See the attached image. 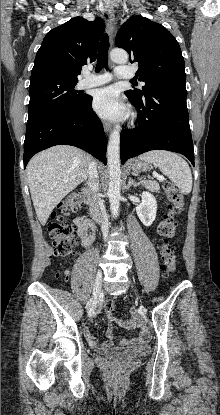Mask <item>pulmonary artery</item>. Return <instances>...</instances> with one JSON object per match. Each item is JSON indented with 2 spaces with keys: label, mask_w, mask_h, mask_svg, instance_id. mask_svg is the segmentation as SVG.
Here are the masks:
<instances>
[{
  "label": "pulmonary artery",
  "mask_w": 220,
  "mask_h": 415,
  "mask_svg": "<svg viewBox=\"0 0 220 415\" xmlns=\"http://www.w3.org/2000/svg\"><path fill=\"white\" fill-rule=\"evenodd\" d=\"M114 75L119 79L131 78L134 76V72L130 70L129 67L120 65L115 68ZM111 79L112 74L108 72L102 74H91L89 72H85V77L79 82L78 86L81 89L96 87L108 83Z\"/></svg>",
  "instance_id": "1"
}]
</instances>
